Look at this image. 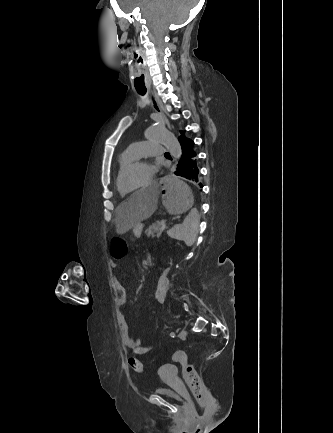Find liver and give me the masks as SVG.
Segmentation results:
<instances>
[{"mask_svg":"<svg viewBox=\"0 0 333 433\" xmlns=\"http://www.w3.org/2000/svg\"><path fill=\"white\" fill-rule=\"evenodd\" d=\"M142 192H131V199L116 208L115 226L117 234H124L157 209L160 183H147Z\"/></svg>","mask_w":333,"mask_h":433,"instance_id":"6515ba94","label":"liver"}]
</instances>
